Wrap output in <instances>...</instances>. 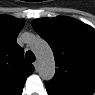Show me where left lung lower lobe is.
Here are the masks:
<instances>
[{
	"label": "left lung lower lobe",
	"mask_w": 95,
	"mask_h": 95,
	"mask_svg": "<svg viewBox=\"0 0 95 95\" xmlns=\"http://www.w3.org/2000/svg\"><path fill=\"white\" fill-rule=\"evenodd\" d=\"M45 86L48 95H89V93L80 90H71V89L53 90L49 88L46 84Z\"/></svg>",
	"instance_id": "1"
}]
</instances>
